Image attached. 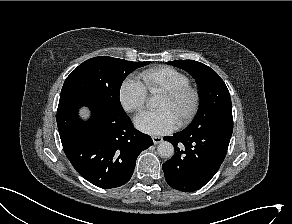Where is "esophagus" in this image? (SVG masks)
<instances>
[{
  "mask_svg": "<svg viewBox=\"0 0 292 224\" xmlns=\"http://www.w3.org/2000/svg\"><path fill=\"white\" fill-rule=\"evenodd\" d=\"M152 139L154 144H158L163 141V138L160 136H153Z\"/></svg>",
  "mask_w": 292,
  "mask_h": 224,
  "instance_id": "1",
  "label": "esophagus"
}]
</instances>
